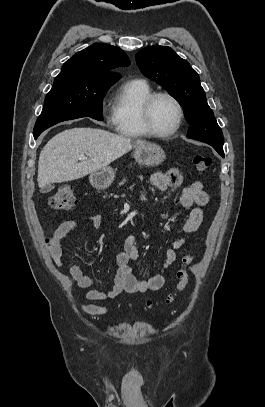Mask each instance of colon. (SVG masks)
<instances>
[{"instance_id": "colon-1", "label": "colon", "mask_w": 265, "mask_h": 407, "mask_svg": "<svg viewBox=\"0 0 265 407\" xmlns=\"http://www.w3.org/2000/svg\"><path fill=\"white\" fill-rule=\"evenodd\" d=\"M193 164L200 173H205L211 167L212 159L208 155L196 154L193 157ZM77 202V196L72 186H61L49 199V206L52 209H71ZM194 260L193 254H187L182 259L181 268L178 270L177 293L183 291L188 284V267ZM177 293L170 294L166 298V303L175 301ZM152 302L147 301V306L151 307Z\"/></svg>"}]
</instances>
